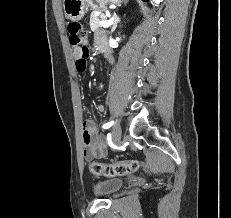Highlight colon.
I'll return each instance as SVG.
<instances>
[{"label":"colon","instance_id":"obj_1","mask_svg":"<svg viewBox=\"0 0 231 218\" xmlns=\"http://www.w3.org/2000/svg\"><path fill=\"white\" fill-rule=\"evenodd\" d=\"M68 34L70 45L73 49H79L82 56H89L88 33L79 22H71L68 25ZM138 169V162L134 159L117 161L113 163L92 162L89 170L94 175H103L107 177L123 176L134 173Z\"/></svg>","mask_w":231,"mask_h":218}]
</instances>
